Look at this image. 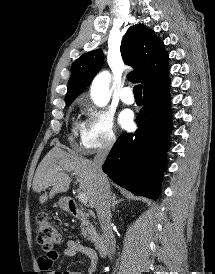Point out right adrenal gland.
<instances>
[{
    "instance_id": "obj_1",
    "label": "right adrenal gland",
    "mask_w": 215,
    "mask_h": 274,
    "mask_svg": "<svg viewBox=\"0 0 215 274\" xmlns=\"http://www.w3.org/2000/svg\"><path fill=\"white\" fill-rule=\"evenodd\" d=\"M122 200H117L115 193L112 196V211H115V206L120 203Z\"/></svg>"
}]
</instances>
